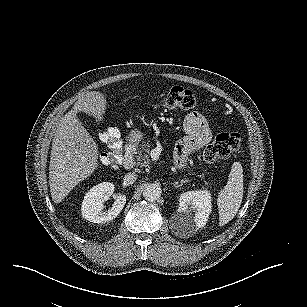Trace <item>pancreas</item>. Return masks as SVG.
Wrapping results in <instances>:
<instances>
[{
	"instance_id": "obj_1",
	"label": "pancreas",
	"mask_w": 307,
	"mask_h": 307,
	"mask_svg": "<svg viewBox=\"0 0 307 307\" xmlns=\"http://www.w3.org/2000/svg\"><path fill=\"white\" fill-rule=\"evenodd\" d=\"M150 145L143 142L135 152V164L137 167L152 168V161L149 159Z\"/></svg>"
}]
</instances>
